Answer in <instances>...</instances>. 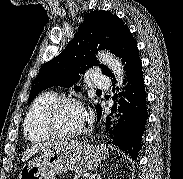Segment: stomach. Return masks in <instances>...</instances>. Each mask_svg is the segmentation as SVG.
I'll return each mask as SVG.
<instances>
[{
    "instance_id": "0dacf381",
    "label": "stomach",
    "mask_w": 183,
    "mask_h": 179,
    "mask_svg": "<svg viewBox=\"0 0 183 179\" xmlns=\"http://www.w3.org/2000/svg\"><path fill=\"white\" fill-rule=\"evenodd\" d=\"M108 156L105 146H92L82 142H52L39 155L26 164L18 179H55L66 171L83 173L97 169Z\"/></svg>"
}]
</instances>
